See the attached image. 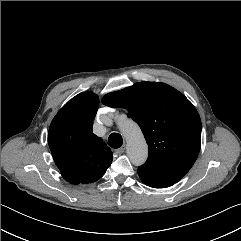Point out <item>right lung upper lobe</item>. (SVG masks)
Here are the masks:
<instances>
[{
  "instance_id": "cb5924a9",
  "label": "right lung upper lobe",
  "mask_w": 241,
  "mask_h": 241,
  "mask_svg": "<svg viewBox=\"0 0 241 241\" xmlns=\"http://www.w3.org/2000/svg\"><path fill=\"white\" fill-rule=\"evenodd\" d=\"M98 103L92 92L80 93L60 109L49 127L55 164L76 184L97 181L113 160L111 149L92 130Z\"/></svg>"
}]
</instances>
